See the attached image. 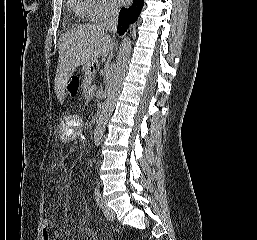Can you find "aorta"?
Returning a JSON list of instances; mask_svg holds the SVG:
<instances>
[{"mask_svg": "<svg viewBox=\"0 0 257 240\" xmlns=\"http://www.w3.org/2000/svg\"><path fill=\"white\" fill-rule=\"evenodd\" d=\"M131 39L124 36L115 65L111 70V74L107 83L106 99L102 106V111L98 117L94 130V144L96 147L100 145L103 138L107 122L113 113L118 96L120 95L123 81L128 69V63L131 56Z\"/></svg>", "mask_w": 257, "mask_h": 240, "instance_id": "1", "label": "aorta"}]
</instances>
